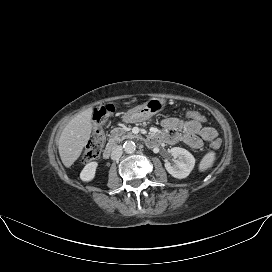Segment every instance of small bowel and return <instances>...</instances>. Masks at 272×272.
Segmentation results:
<instances>
[{
	"label": "small bowel",
	"instance_id": "obj_1",
	"mask_svg": "<svg viewBox=\"0 0 272 272\" xmlns=\"http://www.w3.org/2000/svg\"><path fill=\"white\" fill-rule=\"evenodd\" d=\"M161 125L163 131L160 135H157L159 140L170 144L182 141L194 150L200 149L204 141L212 142L217 137V131L213 127L204 126L201 122L195 120L169 117L163 119Z\"/></svg>",
	"mask_w": 272,
	"mask_h": 272
}]
</instances>
